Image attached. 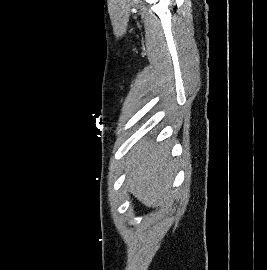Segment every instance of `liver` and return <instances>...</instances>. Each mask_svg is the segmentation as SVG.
Returning a JSON list of instances; mask_svg holds the SVG:
<instances>
[{
	"label": "liver",
	"mask_w": 267,
	"mask_h": 270,
	"mask_svg": "<svg viewBox=\"0 0 267 270\" xmlns=\"http://www.w3.org/2000/svg\"><path fill=\"white\" fill-rule=\"evenodd\" d=\"M176 162L169 146L142 140L131 150L126 162L125 184L148 207L162 206L172 193Z\"/></svg>",
	"instance_id": "obj_1"
}]
</instances>
